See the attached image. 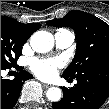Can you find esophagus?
<instances>
[{
  "instance_id": "obj_1",
  "label": "esophagus",
  "mask_w": 109,
  "mask_h": 109,
  "mask_svg": "<svg viewBox=\"0 0 109 109\" xmlns=\"http://www.w3.org/2000/svg\"><path fill=\"white\" fill-rule=\"evenodd\" d=\"M42 86L46 89L50 87V85H48V84H42Z\"/></svg>"
}]
</instances>
